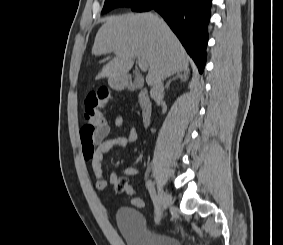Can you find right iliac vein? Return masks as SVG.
<instances>
[{
	"label": "right iliac vein",
	"instance_id": "obj_1",
	"mask_svg": "<svg viewBox=\"0 0 283 245\" xmlns=\"http://www.w3.org/2000/svg\"><path fill=\"white\" fill-rule=\"evenodd\" d=\"M157 188H158L159 198L161 201V216H162V213L170 206V199L168 194L160 184L157 185Z\"/></svg>",
	"mask_w": 283,
	"mask_h": 245
}]
</instances>
